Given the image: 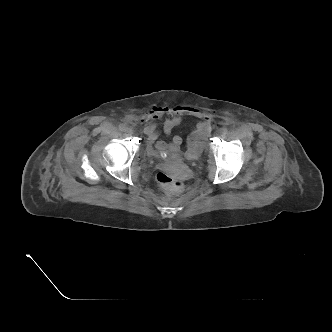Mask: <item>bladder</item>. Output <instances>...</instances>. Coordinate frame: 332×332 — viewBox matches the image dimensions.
<instances>
[{"label": "bladder", "mask_w": 332, "mask_h": 332, "mask_svg": "<svg viewBox=\"0 0 332 332\" xmlns=\"http://www.w3.org/2000/svg\"><path fill=\"white\" fill-rule=\"evenodd\" d=\"M203 153V147L192 149L189 145H187L184 151V157L189 161H195L201 157Z\"/></svg>", "instance_id": "obj_1"}]
</instances>
